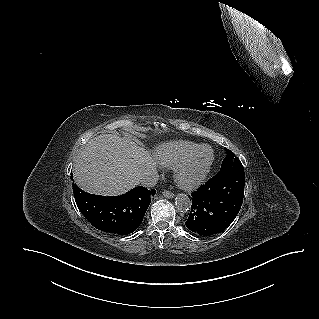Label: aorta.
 I'll return each instance as SVG.
<instances>
[{"label": "aorta", "instance_id": "762f6f07", "mask_svg": "<svg viewBox=\"0 0 319 319\" xmlns=\"http://www.w3.org/2000/svg\"><path fill=\"white\" fill-rule=\"evenodd\" d=\"M176 209L180 212H187L191 208V200L186 194H178L175 198Z\"/></svg>", "mask_w": 319, "mask_h": 319}]
</instances>
